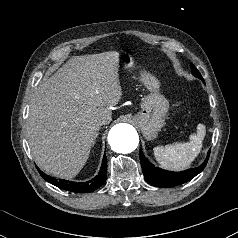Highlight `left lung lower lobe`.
Instances as JSON below:
<instances>
[{"label":"left lung lower lobe","mask_w":238,"mask_h":238,"mask_svg":"<svg viewBox=\"0 0 238 238\" xmlns=\"http://www.w3.org/2000/svg\"><path fill=\"white\" fill-rule=\"evenodd\" d=\"M210 155V150L207 154L205 161L196 168H191L181 172H173L163 170L161 168L155 167L150 163L146 157L143 155L140 149V162L144 174V178L151 185L161 188L174 187L188 182L195 176H197L206 166L208 158Z\"/></svg>","instance_id":"left-lung-lower-lobe-1"}]
</instances>
